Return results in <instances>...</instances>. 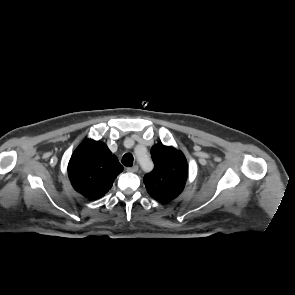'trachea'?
<instances>
[{"label":"trachea","mask_w":295,"mask_h":295,"mask_svg":"<svg viewBox=\"0 0 295 295\" xmlns=\"http://www.w3.org/2000/svg\"><path fill=\"white\" fill-rule=\"evenodd\" d=\"M122 164L126 167H131L133 165V155L131 153H126L122 157Z\"/></svg>","instance_id":"3493384b"}]
</instances>
